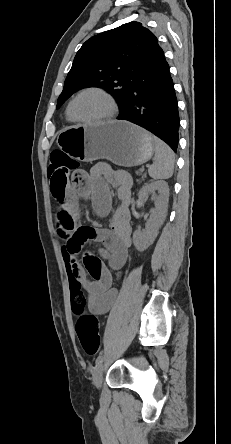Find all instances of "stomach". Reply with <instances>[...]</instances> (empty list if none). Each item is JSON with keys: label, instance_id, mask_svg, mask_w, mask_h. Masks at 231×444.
<instances>
[{"label": "stomach", "instance_id": "obj_1", "mask_svg": "<svg viewBox=\"0 0 231 444\" xmlns=\"http://www.w3.org/2000/svg\"><path fill=\"white\" fill-rule=\"evenodd\" d=\"M57 144L77 160L107 159L123 167L144 164L154 154L153 137L127 121L70 126L59 132Z\"/></svg>", "mask_w": 231, "mask_h": 444}]
</instances>
